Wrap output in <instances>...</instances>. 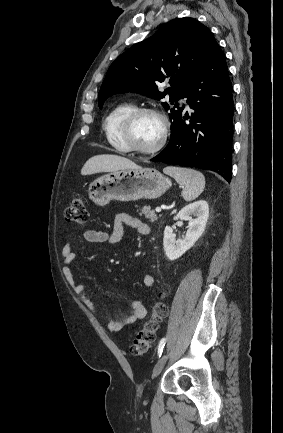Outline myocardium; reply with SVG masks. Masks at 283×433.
<instances>
[{
	"label": "myocardium",
	"mask_w": 283,
	"mask_h": 433,
	"mask_svg": "<svg viewBox=\"0 0 283 433\" xmlns=\"http://www.w3.org/2000/svg\"><path fill=\"white\" fill-rule=\"evenodd\" d=\"M145 114H153L157 116L162 121L163 124L161 139L157 144V146L151 150H145L140 148L133 139V129L135 123L139 117ZM169 132H170V121L164 112H162L161 110L155 107L142 106V107H136L126 114L120 128V139L122 143L125 145V147L128 149V151L143 157H156L164 151Z\"/></svg>",
	"instance_id": "myocardium-1"
}]
</instances>
